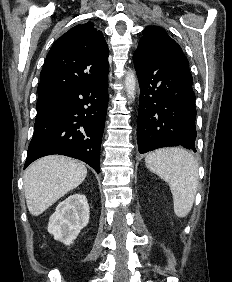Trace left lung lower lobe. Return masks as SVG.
Returning a JSON list of instances; mask_svg holds the SVG:
<instances>
[{"label": "left lung lower lobe", "mask_w": 232, "mask_h": 282, "mask_svg": "<svg viewBox=\"0 0 232 282\" xmlns=\"http://www.w3.org/2000/svg\"><path fill=\"white\" fill-rule=\"evenodd\" d=\"M133 61L140 86L139 152L179 145L196 152L195 94L184 53L171 50L146 55L135 51Z\"/></svg>", "instance_id": "0a47b994"}]
</instances>
